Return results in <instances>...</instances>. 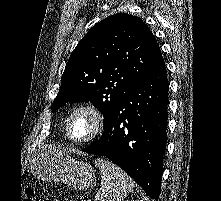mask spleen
<instances>
[{
    "instance_id": "obj_1",
    "label": "spleen",
    "mask_w": 221,
    "mask_h": 201,
    "mask_svg": "<svg viewBox=\"0 0 221 201\" xmlns=\"http://www.w3.org/2000/svg\"><path fill=\"white\" fill-rule=\"evenodd\" d=\"M101 171L100 201H123L133 191L134 184L127 174L114 163L106 159H96Z\"/></svg>"
}]
</instances>
